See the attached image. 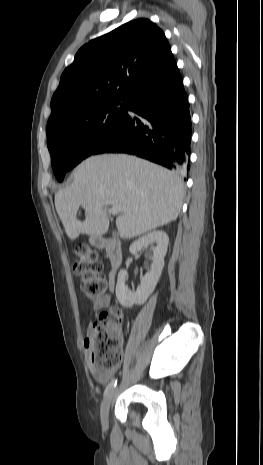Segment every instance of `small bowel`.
Returning <instances> with one entry per match:
<instances>
[{
    "instance_id": "1",
    "label": "small bowel",
    "mask_w": 263,
    "mask_h": 465,
    "mask_svg": "<svg viewBox=\"0 0 263 465\" xmlns=\"http://www.w3.org/2000/svg\"><path fill=\"white\" fill-rule=\"evenodd\" d=\"M109 303H110V296L105 295L102 298L93 301V307H94L95 310H98V309H101V308H104V307L108 306ZM91 329H92V324L88 328V335L90 334ZM84 345H85V348L88 350L89 346L86 344V342L84 343ZM90 371H91L92 375L101 383H105L110 378V376L112 375V371L105 372V373L98 372L93 367L91 362H90Z\"/></svg>"
}]
</instances>
